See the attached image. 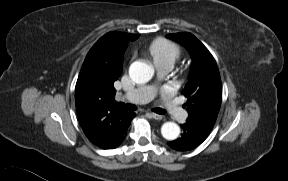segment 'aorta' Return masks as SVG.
Here are the masks:
<instances>
[{
    "mask_svg": "<svg viewBox=\"0 0 288 181\" xmlns=\"http://www.w3.org/2000/svg\"><path fill=\"white\" fill-rule=\"evenodd\" d=\"M153 75L154 68L144 61H135L130 65L129 76L137 84L147 83ZM161 134L166 140H175L180 134V128L174 122H166L161 127Z\"/></svg>",
    "mask_w": 288,
    "mask_h": 181,
    "instance_id": "obj_1",
    "label": "aorta"
}]
</instances>
